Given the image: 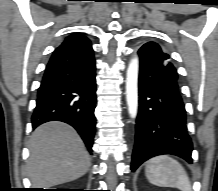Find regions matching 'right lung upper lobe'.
<instances>
[{
	"label": "right lung upper lobe",
	"instance_id": "cb5924a9",
	"mask_svg": "<svg viewBox=\"0 0 218 191\" xmlns=\"http://www.w3.org/2000/svg\"><path fill=\"white\" fill-rule=\"evenodd\" d=\"M76 35L82 36L81 34H76Z\"/></svg>",
	"mask_w": 218,
	"mask_h": 191
}]
</instances>
